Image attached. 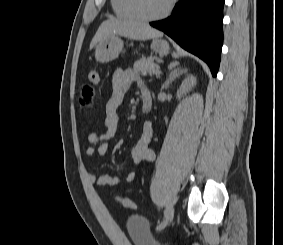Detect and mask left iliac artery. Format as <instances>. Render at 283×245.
<instances>
[{
    "label": "left iliac artery",
    "instance_id": "1",
    "mask_svg": "<svg viewBox=\"0 0 283 245\" xmlns=\"http://www.w3.org/2000/svg\"><path fill=\"white\" fill-rule=\"evenodd\" d=\"M150 191H151L152 200L159 206L160 203H159L158 196H157L156 181H155L154 178L152 179ZM164 214H165V213H164ZM163 224H164V220L161 221V222L157 225V230H160Z\"/></svg>",
    "mask_w": 283,
    "mask_h": 245
}]
</instances>
